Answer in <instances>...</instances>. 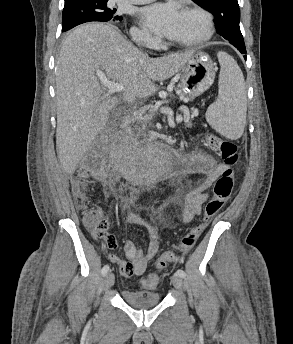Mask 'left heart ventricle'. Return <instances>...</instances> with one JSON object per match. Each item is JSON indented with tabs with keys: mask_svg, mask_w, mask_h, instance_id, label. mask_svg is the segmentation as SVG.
Masks as SVG:
<instances>
[{
	"mask_svg": "<svg viewBox=\"0 0 293 344\" xmlns=\"http://www.w3.org/2000/svg\"><path fill=\"white\" fill-rule=\"evenodd\" d=\"M203 21L194 13L181 12L176 31L169 37L170 41H185L198 37L203 32Z\"/></svg>",
	"mask_w": 293,
	"mask_h": 344,
	"instance_id": "left-heart-ventricle-1",
	"label": "left heart ventricle"
}]
</instances>
